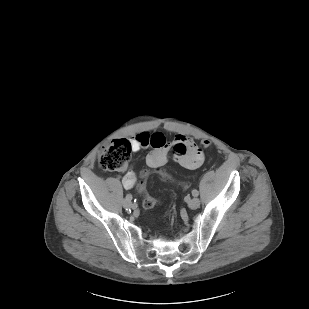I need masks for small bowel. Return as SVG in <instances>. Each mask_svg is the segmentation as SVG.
Listing matches in <instances>:
<instances>
[{
	"instance_id": "c3829d8e",
	"label": "small bowel",
	"mask_w": 309,
	"mask_h": 309,
	"mask_svg": "<svg viewBox=\"0 0 309 309\" xmlns=\"http://www.w3.org/2000/svg\"><path fill=\"white\" fill-rule=\"evenodd\" d=\"M133 151L137 152L145 147H152L147 156V164L151 168L159 167L167 162L171 155L172 161L186 169H196L204 161L201 146L183 134H176L172 143H168L165 135L160 131H142L131 140ZM125 188L131 189L136 182V174L129 170L122 178Z\"/></svg>"
}]
</instances>
